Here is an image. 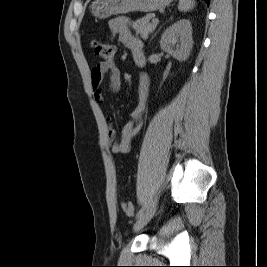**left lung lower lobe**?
Returning a JSON list of instances; mask_svg holds the SVG:
<instances>
[{
	"label": "left lung lower lobe",
	"mask_w": 267,
	"mask_h": 267,
	"mask_svg": "<svg viewBox=\"0 0 267 267\" xmlns=\"http://www.w3.org/2000/svg\"><path fill=\"white\" fill-rule=\"evenodd\" d=\"M207 5H209L210 0H204Z\"/></svg>",
	"instance_id": "0a47b994"
}]
</instances>
